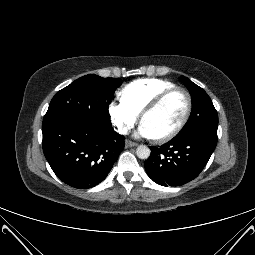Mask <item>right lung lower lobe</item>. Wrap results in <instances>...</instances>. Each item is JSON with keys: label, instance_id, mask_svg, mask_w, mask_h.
<instances>
[{"label": "right lung lower lobe", "instance_id": "right-lung-lower-lobe-1", "mask_svg": "<svg viewBox=\"0 0 255 255\" xmlns=\"http://www.w3.org/2000/svg\"><path fill=\"white\" fill-rule=\"evenodd\" d=\"M42 133L44 155L52 170L78 189L102 182L124 149L125 137L112 127L99 128L78 117L44 120Z\"/></svg>", "mask_w": 255, "mask_h": 255}]
</instances>
